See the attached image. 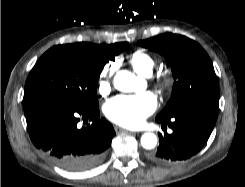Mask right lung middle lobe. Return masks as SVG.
Returning a JSON list of instances; mask_svg holds the SVG:
<instances>
[{
  "label": "right lung middle lobe",
  "instance_id": "dd1d6c3e",
  "mask_svg": "<svg viewBox=\"0 0 245 187\" xmlns=\"http://www.w3.org/2000/svg\"><path fill=\"white\" fill-rule=\"evenodd\" d=\"M127 42L110 46L74 43L52 47L29 73L24 111L45 103L98 108L97 82L105 64L121 53Z\"/></svg>",
  "mask_w": 245,
  "mask_h": 187
}]
</instances>
